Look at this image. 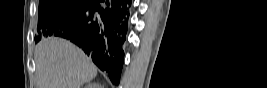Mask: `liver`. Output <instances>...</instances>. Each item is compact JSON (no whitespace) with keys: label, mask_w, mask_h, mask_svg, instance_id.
<instances>
[{"label":"liver","mask_w":267,"mask_h":88,"mask_svg":"<svg viewBox=\"0 0 267 88\" xmlns=\"http://www.w3.org/2000/svg\"><path fill=\"white\" fill-rule=\"evenodd\" d=\"M34 59L38 88H81L97 75V69L84 52L59 37L41 40Z\"/></svg>","instance_id":"6515ba94"}]
</instances>
